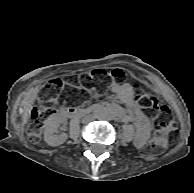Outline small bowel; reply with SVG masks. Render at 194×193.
Masks as SVG:
<instances>
[{"mask_svg": "<svg viewBox=\"0 0 194 193\" xmlns=\"http://www.w3.org/2000/svg\"><path fill=\"white\" fill-rule=\"evenodd\" d=\"M112 92L125 104L124 119L131 121L136 128V143L143 145L150 133L151 123L137 104V98L129 84H115Z\"/></svg>", "mask_w": 194, "mask_h": 193, "instance_id": "c3829d8e", "label": "small bowel"}]
</instances>
